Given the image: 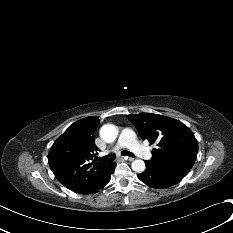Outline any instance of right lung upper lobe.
<instances>
[{"label":"right lung upper lobe","instance_id":"1","mask_svg":"<svg viewBox=\"0 0 233 233\" xmlns=\"http://www.w3.org/2000/svg\"><path fill=\"white\" fill-rule=\"evenodd\" d=\"M98 124L99 120L93 116L76 121L56 139L48 154L55 177L77 193L89 194L111 167L92 161L98 150L93 137Z\"/></svg>","mask_w":233,"mask_h":233}]
</instances>
